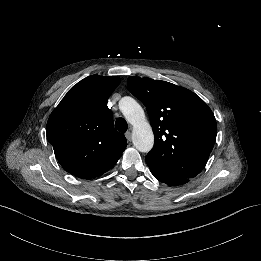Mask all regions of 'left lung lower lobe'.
<instances>
[{
	"mask_svg": "<svg viewBox=\"0 0 261 261\" xmlns=\"http://www.w3.org/2000/svg\"><path fill=\"white\" fill-rule=\"evenodd\" d=\"M154 175L159 181L166 183L169 186H178L187 183L193 177H186L174 173H170L153 164L146 162Z\"/></svg>",
	"mask_w": 261,
	"mask_h": 261,
	"instance_id": "left-lung-lower-lobe-1",
	"label": "left lung lower lobe"
}]
</instances>
